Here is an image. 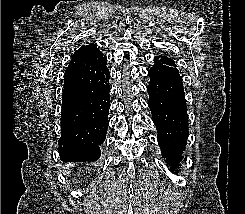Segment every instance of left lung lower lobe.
<instances>
[{
    "label": "left lung lower lobe",
    "mask_w": 245,
    "mask_h": 214,
    "mask_svg": "<svg viewBox=\"0 0 245 214\" xmlns=\"http://www.w3.org/2000/svg\"><path fill=\"white\" fill-rule=\"evenodd\" d=\"M148 76V106L158 131V143L170 169H174L179 166L188 135L182 77L175 67L157 63L149 70Z\"/></svg>",
    "instance_id": "0a47b994"
}]
</instances>
